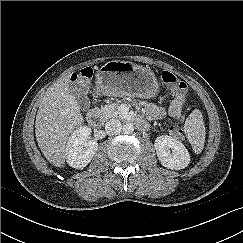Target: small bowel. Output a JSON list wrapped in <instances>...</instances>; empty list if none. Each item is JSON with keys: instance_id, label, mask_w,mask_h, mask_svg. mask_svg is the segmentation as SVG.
<instances>
[{"instance_id": "obj_1", "label": "small bowel", "mask_w": 243, "mask_h": 243, "mask_svg": "<svg viewBox=\"0 0 243 243\" xmlns=\"http://www.w3.org/2000/svg\"><path fill=\"white\" fill-rule=\"evenodd\" d=\"M185 98L186 96L184 95L183 101H181V99L178 96H175L172 99L168 108V114L172 118L177 119L179 118V116L182 115V108L185 103ZM146 114L151 119H159L165 116V111L160 107L150 105L146 108Z\"/></svg>"}]
</instances>
